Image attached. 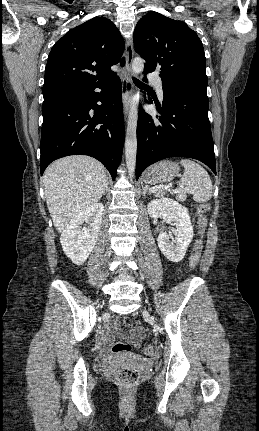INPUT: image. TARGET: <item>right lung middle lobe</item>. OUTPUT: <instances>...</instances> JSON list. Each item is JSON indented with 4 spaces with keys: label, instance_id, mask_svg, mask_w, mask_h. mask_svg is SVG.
Returning <instances> with one entry per match:
<instances>
[{
    "label": "right lung middle lobe",
    "instance_id": "right-lung-middle-lobe-1",
    "mask_svg": "<svg viewBox=\"0 0 259 431\" xmlns=\"http://www.w3.org/2000/svg\"><path fill=\"white\" fill-rule=\"evenodd\" d=\"M53 91H55V90H53ZM53 91L43 92V95L49 94V93H51V92H53Z\"/></svg>",
    "mask_w": 259,
    "mask_h": 431
}]
</instances>
